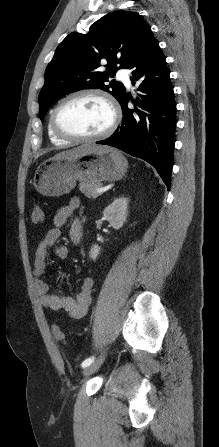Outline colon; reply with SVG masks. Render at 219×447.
Returning a JSON list of instances; mask_svg holds the SVG:
<instances>
[{
    "label": "colon",
    "instance_id": "obj_1",
    "mask_svg": "<svg viewBox=\"0 0 219 447\" xmlns=\"http://www.w3.org/2000/svg\"><path fill=\"white\" fill-rule=\"evenodd\" d=\"M31 221L34 224H39L43 221V212L39 205L33 206L32 214H31ZM52 332H53V335L57 341H59V342L64 341V334L59 326H57V325L53 326Z\"/></svg>",
    "mask_w": 219,
    "mask_h": 447
}]
</instances>
